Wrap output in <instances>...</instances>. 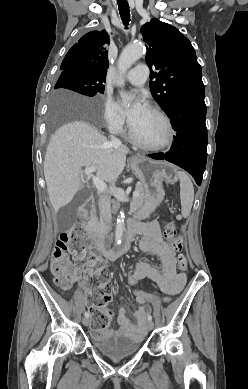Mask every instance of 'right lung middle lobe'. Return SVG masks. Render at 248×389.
Wrapping results in <instances>:
<instances>
[{"instance_id":"1","label":"right lung middle lobe","mask_w":248,"mask_h":389,"mask_svg":"<svg viewBox=\"0 0 248 389\" xmlns=\"http://www.w3.org/2000/svg\"><path fill=\"white\" fill-rule=\"evenodd\" d=\"M105 81V78L96 76L88 71L76 68H66L63 69L55 85V89L67 88L80 94L92 97L96 94L104 93ZM76 109L89 117H94L97 113V109L91 104H80L76 106Z\"/></svg>"}]
</instances>
